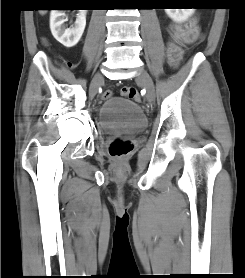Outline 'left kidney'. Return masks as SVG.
Instances as JSON below:
<instances>
[{
    "label": "left kidney",
    "mask_w": 245,
    "mask_h": 278,
    "mask_svg": "<svg viewBox=\"0 0 245 278\" xmlns=\"http://www.w3.org/2000/svg\"><path fill=\"white\" fill-rule=\"evenodd\" d=\"M193 9H165L166 14L176 22H183L194 13Z\"/></svg>",
    "instance_id": "1"
}]
</instances>
